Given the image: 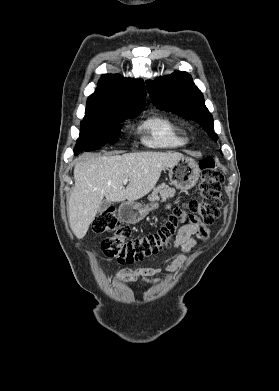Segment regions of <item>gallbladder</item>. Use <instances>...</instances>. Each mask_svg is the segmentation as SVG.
I'll list each match as a JSON object with an SVG mask.
<instances>
[{
    "label": "gallbladder",
    "mask_w": 279,
    "mask_h": 391,
    "mask_svg": "<svg viewBox=\"0 0 279 391\" xmlns=\"http://www.w3.org/2000/svg\"><path fill=\"white\" fill-rule=\"evenodd\" d=\"M111 205L110 201L103 200L99 206L98 212L101 213L105 211Z\"/></svg>",
    "instance_id": "obj_1"
}]
</instances>
